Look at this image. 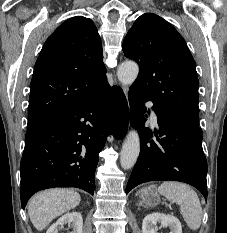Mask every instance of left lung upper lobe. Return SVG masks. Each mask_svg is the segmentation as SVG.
I'll use <instances>...</instances> for the list:
<instances>
[{
    "mask_svg": "<svg viewBox=\"0 0 227 233\" xmlns=\"http://www.w3.org/2000/svg\"><path fill=\"white\" fill-rule=\"evenodd\" d=\"M123 53L140 68L130 88L199 125L196 64L186 42L170 23L158 15L143 14L128 31Z\"/></svg>",
    "mask_w": 227,
    "mask_h": 233,
    "instance_id": "obj_1",
    "label": "left lung upper lobe"
}]
</instances>
